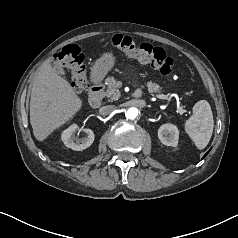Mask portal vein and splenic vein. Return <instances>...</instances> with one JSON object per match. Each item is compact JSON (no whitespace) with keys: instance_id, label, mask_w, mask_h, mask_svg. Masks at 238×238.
I'll list each match as a JSON object with an SVG mask.
<instances>
[{"instance_id":"portal-vein-and-splenic-vein-1","label":"portal vein and splenic vein","mask_w":238,"mask_h":238,"mask_svg":"<svg viewBox=\"0 0 238 238\" xmlns=\"http://www.w3.org/2000/svg\"><path fill=\"white\" fill-rule=\"evenodd\" d=\"M155 97L158 99H163V100L167 99V96L162 94H156ZM177 112L182 115L183 113H185V110H183L181 107H178Z\"/></svg>"}]
</instances>
